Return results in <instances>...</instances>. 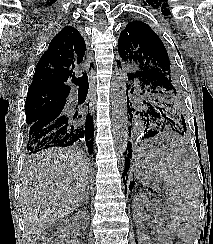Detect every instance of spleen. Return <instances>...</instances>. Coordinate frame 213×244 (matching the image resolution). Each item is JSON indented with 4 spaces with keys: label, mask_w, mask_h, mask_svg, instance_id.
Here are the masks:
<instances>
[{
    "label": "spleen",
    "mask_w": 213,
    "mask_h": 244,
    "mask_svg": "<svg viewBox=\"0 0 213 244\" xmlns=\"http://www.w3.org/2000/svg\"><path fill=\"white\" fill-rule=\"evenodd\" d=\"M147 160L164 181L170 227L178 238L189 244L195 236L199 219V181L192 168L175 152L157 150L148 155Z\"/></svg>",
    "instance_id": "spleen-1"
}]
</instances>
